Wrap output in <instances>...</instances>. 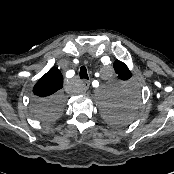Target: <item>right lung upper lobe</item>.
Here are the masks:
<instances>
[{
	"label": "right lung upper lobe",
	"instance_id": "obj_1",
	"mask_svg": "<svg viewBox=\"0 0 174 174\" xmlns=\"http://www.w3.org/2000/svg\"><path fill=\"white\" fill-rule=\"evenodd\" d=\"M62 87L63 76L56 67H52L38 80L33 88V93L38 97L46 98L58 94Z\"/></svg>",
	"mask_w": 174,
	"mask_h": 174
}]
</instances>
